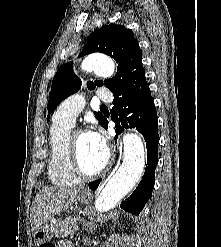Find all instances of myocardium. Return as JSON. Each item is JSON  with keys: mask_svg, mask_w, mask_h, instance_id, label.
<instances>
[{"mask_svg": "<svg viewBox=\"0 0 221 247\" xmlns=\"http://www.w3.org/2000/svg\"><path fill=\"white\" fill-rule=\"evenodd\" d=\"M87 132L84 130H77L70 134L69 136V151H70V159L72 163V168L75 174L80 178L84 180H91L98 178L102 176L110 167L112 162V153L109 148L106 149V158L103 166L97 170L94 173H87L80 162L79 155H78V149H77V135L79 134H86Z\"/></svg>", "mask_w": 221, "mask_h": 247, "instance_id": "1", "label": "myocardium"}]
</instances>
